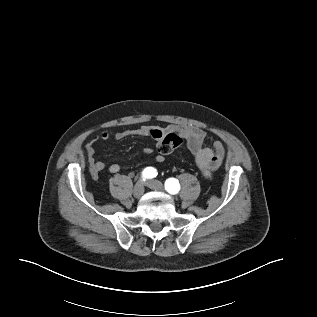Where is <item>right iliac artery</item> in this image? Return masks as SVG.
I'll return each mask as SVG.
<instances>
[{"label":"right iliac artery","instance_id":"right-iliac-artery-1","mask_svg":"<svg viewBox=\"0 0 317 317\" xmlns=\"http://www.w3.org/2000/svg\"><path fill=\"white\" fill-rule=\"evenodd\" d=\"M157 176V170L153 167H146L142 171V180L145 181L146 179H151Z\"/></svg>","mask_w":317,"mask_h":317}]
</instances>
